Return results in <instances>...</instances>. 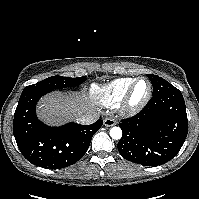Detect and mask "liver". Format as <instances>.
<instances>
[{
    "mask_svg": "<svg viewBox=\"0 0 199 199\" xmlns=\"http://www.w3.org/2000/svg\"><path fill=\"white\" fill-rule=\"evenodd\" d=\"M37 111L39 118L44 122L60 125L96 110L85 95L52 93L40 100Z\"/></svg>",
    "mask_w": 199,
    "mask_h": 199,
    "instance_id": "1",
    "label": "liver"
}]
</instances>
